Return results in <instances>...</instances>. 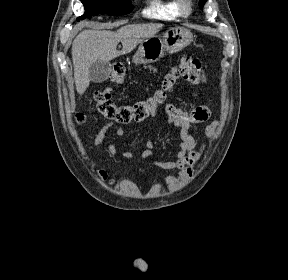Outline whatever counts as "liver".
<instances>
[{
    "label": "liver",
    "mask_w": 288,
    "mask_h": 280,
    "mask_svg": "<svg viewBox=\"0 0 288 280\" xmlns=\"http://www.w3.org/2000/svg\"><path fill=\"white\" fill-rule=\"evenodd\" d=\"M163 24H129L117 32L110 30H84L72 44L74 81L77 92L82 95L89 86V68L98 60L107 61L130 53L144 39L155 36ZM122 50L118 51V43Z\"/></svg>",
    "instance_id": "1"
}]
</instances>
